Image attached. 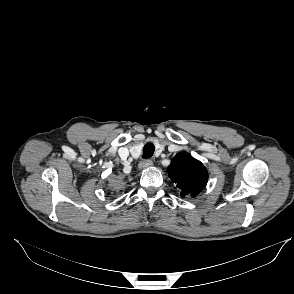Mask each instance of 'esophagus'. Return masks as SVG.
Instances as JSON below:
<instances>
[{
	"label": "esophagus",
	"instance_id": "34e87169",
	"mask_svg": "<svg viewBox=\"0 0 294 294\" xmlns=\"http://www.w3.org/2000/svg\"><path fill=\"white\" fill-rule=\"evenodd\" d=\"M153 165V162L151 160H143L139 163L140 169H145L148 167H151Z\"/></svg>",
	"mask_w": 294,
	"mask_h": 294
}]
</instances>
